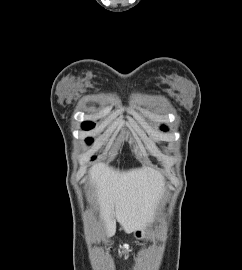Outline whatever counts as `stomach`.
<instances>
[{"mask_svg":"<svg viewBox=\"0 0 242 270\" xmlns=\"http://www.w3.org/2000/svg\"><path fill=\"white\" fill-rule=\"evenodd\" d=\"M146 230L144 228H139L133 231V236L137 241H141L146 238Z\"/></svg>","mask_w":242,"mask_h":270,"instance_id":"1","label":"stomach"}]
</instances>
